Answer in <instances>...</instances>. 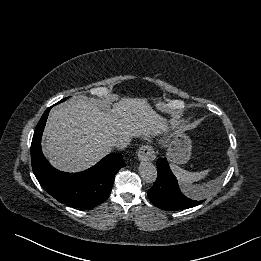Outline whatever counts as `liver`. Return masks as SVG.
I'll list each match as a JSON object with an SVG mask.
<instances>
[{
    "label": "liver",
    "instance_id": "6515ba94",
    "mask_svg": "<svg viewBox=\"0 0 261 261\" xmlns=\"http://www.w3.org/2000/svg\"><path fill=\"white\" fill-rule=\"evenodd\" d=\"M168 129L146 98L123 97L112 109L102 110L81 97L52 109L44 129L43 151L57 169L83 171L112 151L119 138L160 134Z\"/></svg>",
    "mask_w": 261,
    "mask_h": 261
}]
</instances>
